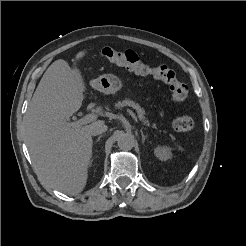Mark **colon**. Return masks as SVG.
<instances>
[{"label":"colon","mask_w":246,"mask_h":246,"mask_svg":"<svg viewBox=\"0 0 246 246\" xmlns=\"http://www.w3.org/2000/svg\"><path fill=\"white\" fill-rule=\"evenodd\" d=\"M102 56L111 64L123 67L140 75H150L169 86L171 99L180 102L188 95L187 86L180 82L176 73L165 65L152 66L141 59L132 50H118L107 46L101 50ZM172 128L177 132H189L194 127V121L190 116L181 115L172 120Z\"/></svg>","instance_id":"colon-1"}]
</instances>
